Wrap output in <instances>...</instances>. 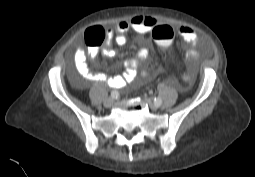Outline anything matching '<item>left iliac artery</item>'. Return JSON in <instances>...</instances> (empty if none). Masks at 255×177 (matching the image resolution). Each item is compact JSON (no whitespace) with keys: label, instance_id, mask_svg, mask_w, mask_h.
<instances>
[{"label":"left iliac artery","instance_id":"left-iliac-artery-1","mask_svg":"<svg viewBox=\"0 0 255 177\" xmlns=\"http://www.w3.org/2000/svg\"><path fill=\"white\" fill-rule=\"evenodd\" d=\"M154 103L159 107V106L162 104V99H161V97L155 98Z\"/></svg>","mask_w":255,"mask_h":177}]
</instances>
